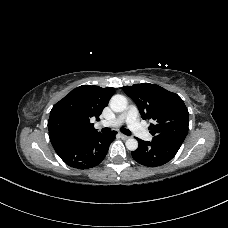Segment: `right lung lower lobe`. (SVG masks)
Instances as JSON below:
<instances>
[{
  "label": "right lung lower lobe",
  "instance_id": "98d812e1",
  "mask_svg": "<svg viewBox=\"0 0 228 228\" xmlns=\"http://www.w3.org/2000/svg\"><path fill=\"white\" fill-rule=\"evenodd\" d=\"M116 133H97L87 138L63 141L53 147L67 165L77 169H88L102 162Z\"/></svg>",
  "mask_w": 228,
  "mask_h": 228
}]
</instances>
